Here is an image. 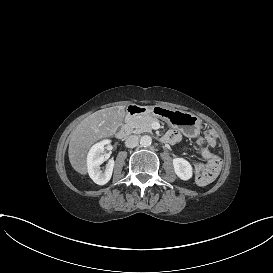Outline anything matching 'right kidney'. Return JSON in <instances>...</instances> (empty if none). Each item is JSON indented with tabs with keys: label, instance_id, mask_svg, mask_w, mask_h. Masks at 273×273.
Masks as SVG:
<instances>
[{
	"label": "right kidney",
	"instance_id": "1",
	"mask_svg": "<svg viewBox=\"0 0 273 273\" xmlns=\"http://www.w3.org/2000/svg\"><path fill=\"white\" fill-rule=\"evenodd\" d=\"M104 153V146L102 144H97L91 149L88 156L89 175L98 185H105L110 181L115 165L114 159L105 158L103 155ZM103 163L107 164L106 171L104 172L100 168Z\"/></svg>",
	"mask_w": 273,
	"mask_h": 273
}]
</instances>
